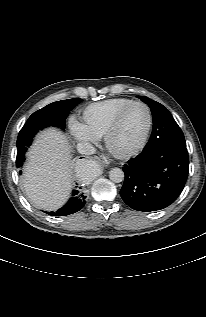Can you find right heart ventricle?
Instances as JSON below:
<instances>
[{
	"label": "right heart ventricle",
	"instance_id": "1",
	"mask_svg": "<svg viewBox=\"0 0 206 317\" xmlns=\"http://www.w3.org/2000/svg\"><path fill=\"white\" fill-rule=\"evenodd\" d=\"M133 102L128 98H113L87 106L82 113V125L95 139L104 136L115 115Z\"/></svg>",
	"mask_w": 206,
	"mask_h": 317
}]
</instances>
